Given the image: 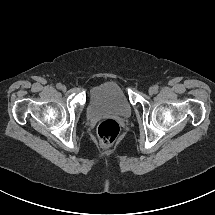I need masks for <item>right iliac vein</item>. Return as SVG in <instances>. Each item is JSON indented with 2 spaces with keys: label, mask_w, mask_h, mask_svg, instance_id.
<instances>
[{
  "label": "right iliac vein",
  "mask_w": 215,
  "mask_h": 215,
  "mask_svg": "<svg viewBox=\"0 0 215 215\" xmlns=\"http://www.w3.org/2000/svg\"><path fill=\"white\" fill-rule=\"evenodd\" d=\"M61 90L66 91V86L62 85Z\"/></svg>",
  "instance_id": "right-iliac-vein-1"
}]
</instances>
